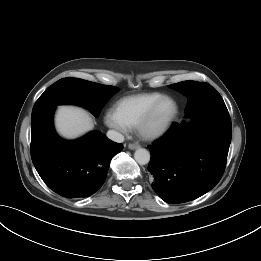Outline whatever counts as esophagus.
Masks as SVG:
<instances>
[{
	"label": "esophagus",
	"instance_id": "obj_1",
	"mask_svg": "<svg viewBox=\"0 0 261 261\" xmlns=\"http://www.w3.org/2000/svg\"><path fill=\"white\" fill-rule=\"evenodd\" d=\"M139 147H140V145L138 143H130L128 145V148L131 149V150L138 149Z\"/></svg>",
	"mask_w": 261,
	"mask_h": 261
}]
</instances>
